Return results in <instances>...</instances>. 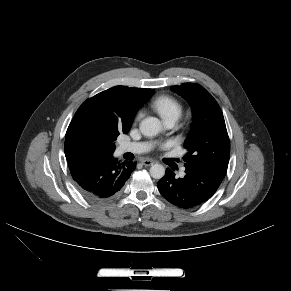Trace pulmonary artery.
I'll list each match as a JSON object with an SVG mask.
<instances>
[{
    "label": "pulmonary artery",
    "instance_id": "e3ab8cb5",
    "mask_svg": "<svg viewBox=\"0 0 291 291\" xmlns=\"http://www.w3.org/2000/svg\"><path fill=\"white\" fill-rule=\"evenodd\" d=\"M176 120L175 119H169L166 120L165 123L167 127L171 128L174 126ZM152 145L149 142H131V143H123L120 145L119 150L122 153L131 152V153H144L151 149ZM184 173V172H182Z\"/></svg>",
    "mask_w": 291,
    "mask_h": 291
}]
</instances>
